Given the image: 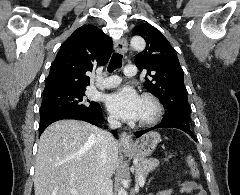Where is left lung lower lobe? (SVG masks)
I'll return each mask as SVG.
<instances>
[{"mask_svg":"<svg viewBox=\"0 0 240 195\" xmlns=\"http://www.w3.org/2000/svg\"><path fill=\"white\" fill-rule=\"evenodd\" d=\"M157 128H178V129H181L184 132L188 133L189 135H191V137L193 139H195L192 131L190 130V125L184 124V123H181V122H177V121H162L161 123H159L158 125H156L152 128L137 131L134 134L136 135V137H140L142 134H144L148 131L157 129Z\"/></svg>","mask_w":240,"mask_h":195,"instance_id":"1","label":"left lung lower lobe"}]
</instances>
